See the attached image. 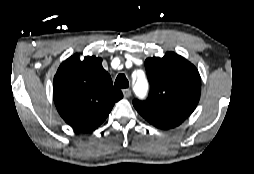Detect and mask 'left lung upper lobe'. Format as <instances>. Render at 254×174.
<instances>
[{"label": "left lung upper lobe", "mask_w": 254, "mask_h": 174, "mask_svg": "<svg viewBox=\"0 0 254 174\" xmlns=\"http://www.w3.org/2000/svg\"><path fill=\"white\" fill-rule=\"evenodd\" d=\"M150 83L145 101L133 100L143 117H155L182 123L195 110L200 99L201 78L196 67L173 52L145 61Z\"/></svg>", "instance_id": "5c2ea615"}]
</instances>
